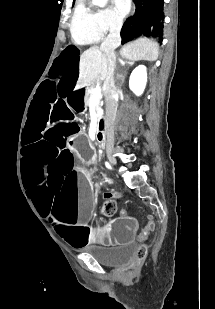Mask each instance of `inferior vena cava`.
I'll list each match as a JSON object with an SVG mask.
<instances>
[{"label":"inferior vena cava","mask_w":215,"mask_h":309,"mask_svg":"<svg viewBox=\"0 0 215 309\" xmlns=\"http://www.w3.org/2000/svg\"><path fill=\"white\" fill-rule=\"evenodd\" d=\"M122 24V16H118V18H113L110 24V32L100 46L101 50H103V52H106L108 60V70L104 80V96L106 102L105 132L107 144H113L114 140L113 126L114 120L116 118L117 102L119 98L114 76L116 68L115 48H117V46H119L121 42L120 30L122 28Z\"/></svg>","instance_id":"inferior-vena-cava-1"}]
</instances>
